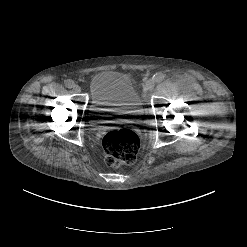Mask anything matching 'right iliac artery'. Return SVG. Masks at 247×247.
<instances>
[{
  "label": "right iliac artery",
  "instance_id": "1",
  "mask_svg": "<svg viewBox=\"0 0 247 247\" xmlns=\"http://www.w3.org/2000/svg\"><path fill=\"white\" fill-rule=\"evenodd\" d=\"M65 86L67 87V88H73L74 86H75V83H74V81L73 80H66L65 81Z\"/></svg>",
  "mask_w": 247,
  "mask_h": 247
}]
</instances>
